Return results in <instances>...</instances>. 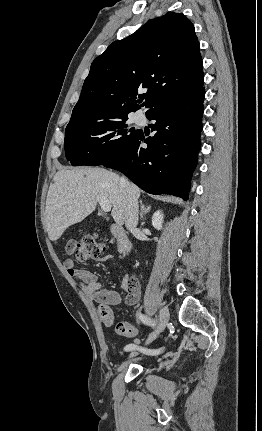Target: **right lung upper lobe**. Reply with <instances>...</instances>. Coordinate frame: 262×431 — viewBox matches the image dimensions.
<instances>
[{
  "label": "right lung upper lobe",
  "instance_id": "cb5924a9",
  "mask_svg": "<svg viewBox=\"0 0 262 431\" xmlns=\"http://www.w3.org/2000/svg\"><path fill=\"white\" fill-rule=\"evenodd\" d=\"M193 24L169 12L127 38L111 43L91 64L70 124L108 120L193 96L203 86Z\"/></svg>",
  "mask_w": 262,
  "mask_h": 431
}]
</instances>
